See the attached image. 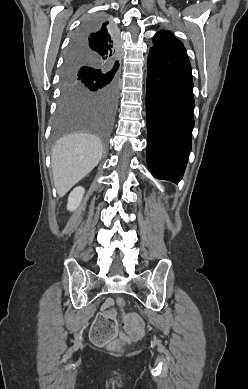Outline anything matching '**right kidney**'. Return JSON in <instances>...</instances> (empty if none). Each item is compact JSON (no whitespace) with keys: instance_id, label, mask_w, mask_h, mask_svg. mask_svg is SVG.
<instances>
[{"instance_id":"1","label":"right kidney","mask_w":248,"mask_h":389,"mask_svg":"<svg viewBox=\"0 0 248 389\" xmlns=\"http://www.w3.org/2000/svg\"><path fill=\"white\" fill-rule=\"evenodd\" d=\"M84 193H85V189L81 186H78L75 189H73V191L70 193L68 197L67 209L69 211H74L78 208V206L82 201Z\"/></svg>"}]
</instances>
